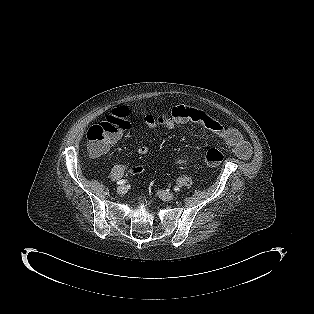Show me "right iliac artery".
Segmentation results:
<instances>
[{"mask_svg":"<svg viewBox=\"0 0 314 314\" xmlns=\"http://www.w3.org/2000/svg\"><path fill=\"white\" fill-rule=\"evenodd\" d=\"M124 183H126L125 180H119V181L117 182L118 185H122V184H124Z\"/></svg>","mask_w":314,"mask_h":314,"instance_id":"82829eb1","label":"right iliac artery"}]
</instances>
